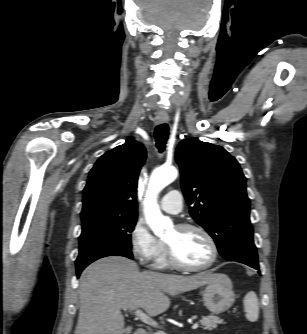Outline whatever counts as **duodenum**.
<instances>
[{
	"mask_svg": "<svg viewBox=\"0 0 307 334\" xmlns=\"http://www.w3.org/2000/svg\"><path fill=\"white\" fill-rule=\"evenodd\" d=\"M133 334H147L144 328H137Z\"/></svg>",
	"mask_w": 307,
	"mask_h": 334,
	"instance_id": "1",
	"label": "duodenum"
}]
</instances>
